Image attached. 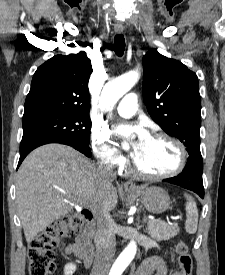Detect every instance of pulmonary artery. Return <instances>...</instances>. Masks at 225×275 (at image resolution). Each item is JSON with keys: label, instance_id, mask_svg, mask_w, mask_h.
Returning <instances> with one entry per match:
<instances>
[{"label": "pulmonary artery", "instance_id": "e3ab8cb5", "mask_svg": "<svg viewBox=\"0 0 225 275\" xmlns=\"http://www.w3.org/2000/svg\"><path fill=\"white\" fill-rule=\"evenodd\" d=\"M138 109L137 95L135 93L126 94L117 105V112L120 116L131 117Z\"/></svg>", "mask_w": 225, "mask_h": 275}]
</instances>
